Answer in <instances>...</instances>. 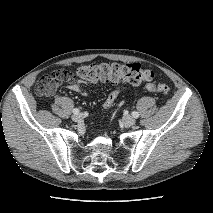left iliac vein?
<instances>
[{
    "label": "left iliac vein",
    "instance_id": "4c4485c4",
    "mask_svg": "<svg viewBox=\"0 0 213 213\" xmlns=\"http://www.w3.org/2000/svg\"><path fill=\"white\" fill-rule=\"evenodd\" d=\"M123 122L126 126H132L135 124L136 120L132 116L126 115L123 117Z\"/></svg>",
    "mask_w": 213,
    "mask_h": 213
}]
</instances>
